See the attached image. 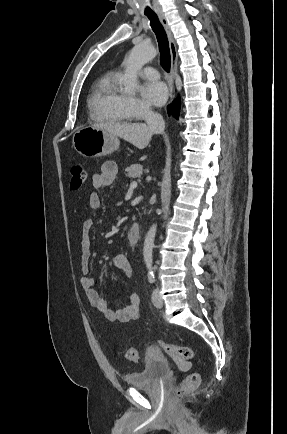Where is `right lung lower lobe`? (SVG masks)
<instances>
[{
  "mask_svg": "<svg viewBox=\"0 0 287 434\" xmlns=\"http://www.w3.org/2000/svg\"><path fill=\"white\" fill-rule=\"evenodd\" d=\"M180 112V99L178 98L173 105L169 106V113L178 119Z\"/></svg>",
  "mask_w": 287,
  "mask_h": 434,
  "instance_id": "98d812e1",
  "label": "right lung lower lobe"
}]
</instances>
